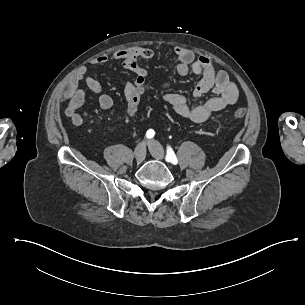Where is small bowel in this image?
<instances>
[{
  "label": "small bowel",
  "mask_w": 305,
  "mask_h": 305,
  "mask_svg": "<svg viewBox=\"0 0 305 305\" xmlns=\"http://www.w3.org/2000/svg\"><path fill=\"white\" fill-rule=\"evenodd\" d=\"M173 51L175 61L177 62L176 73L179 76H186L189 72L201 76L195 86L193 96L199 98L210 91L215 93V96L200 104L190 106L185 96L169 91V84L165 83L163 85L165 88L163 99L179 116L194 123H202L208 120L212 114L233 105L237 101L238 89L236 84L225 71H215L212 63L206 56H196L193 51L183 47H175ZM154 54L153 48L134 46L117 50L109 55L103 54L93 57L89 63L90 65H101L109 62H119L125 69L134 72V80L127 82L124 86V95L127 100L129 93L134 91L135 88L145 86L148 73L140 64V60L150 59ZM87 71V67H81L69 81L68 103L65 108V115L75 126H81L87 115L86 113L79 112L85 101V92L79 88V83L83 81L94 92H101L102 90L101 83L95 78L88 76ZM98 102L103 110H109L113 106V99L105 93L100 94Z\"/></svg>",
  "instance_id": "1"
}]
</instances>
